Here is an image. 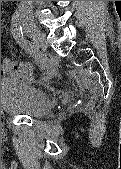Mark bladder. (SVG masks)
Listing matches in <instances>:
<instances>
[{
	"mask_svg": "<svg viewBox=\"0 0 121 169\" xmlns=\"http://www.w3.org/2000/svg\"><path fill=\"white\" fill-rule=\"evenodd\" d=\"M1 107L6 114L39 117L52 108L50 98L38 88L14 78L1 79Z\"/></svg>",
	"mask_w": 121,
	"mask_h": 169,
	"instance_id": "31cf9c89",
	"label": "bladder"
}]
</instances>
